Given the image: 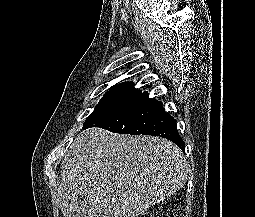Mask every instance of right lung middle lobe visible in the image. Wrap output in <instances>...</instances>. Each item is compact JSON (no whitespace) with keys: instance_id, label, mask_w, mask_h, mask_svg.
<instances>
[{"instance_id":"right-lung-middle-lobe-1","label":"right lung middle lobe","mask_w":255,"mask_h":217,"mask_svg":"<svg viewBox=\"0 0 255 217\" xmlns=\"http://www.w3.org/2000/svg\"><path fill=\"white\" fill-rule=\"evenodd\" d=\"M141 93L142 90L135 89L134 87H112L99 101L94 111L84 122L83 127L110 111L127 104Z\"/></svg>"}]
</instances>
